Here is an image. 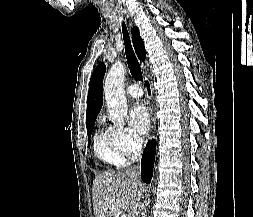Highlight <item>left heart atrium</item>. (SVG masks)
Masks as SVG:
<instances>
[{"instance_id": "obj_1", "label": "left heart atrium", "mask_w": 253, "mask_h": 217, "mask_svg": "<svg viewBox=\"0 0 253 217\" xmlns=\"http://www.w3.org/2000/svg\"><path fill=\"white\" fill-rule=\"evenodd\" d=\"M129 123L132 129L139 135L147 133L150 127V116L142 103H136L129 114Z\"/></svg>"}]
</instances>
